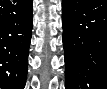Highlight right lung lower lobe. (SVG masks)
<instances>
[{"label":"right lung lower lobe","mask_w":107,"mask_h":89,"mask_svg":"<svg viewBox=\"0 0 107 89\" xmlns=\"http://www.w3.org/2000/svg\"><path fill=\"white\" fill-rule=\"evenodd\" d=\"M32 0H0V87L24 89L32 31Z\"/></svg>","instance_id":"98d812e1"}]
</instances>
